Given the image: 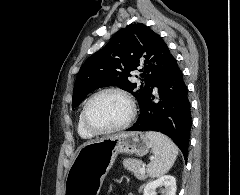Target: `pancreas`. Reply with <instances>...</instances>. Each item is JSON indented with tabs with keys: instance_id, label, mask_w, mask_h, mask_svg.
<instances>
[{
	"instance_id": "pancreas-1",
	"label": "pancreas",
	"mask_w": 240,
	"mask_h": 195,
	"mask_svg": "<svg viewBox=\"0 0 240 195\" xmlns=\"http://www.w3.org/2000/svg\"><path fill=\"white\" fill-rule=\"evenodd\" d=\"M123 165L125 169H129V171H132V173L136 175L137 179H146L147 175L145 171H140V159H131V157H127V159H123Z\"/></svg>"
}]
</instances>
